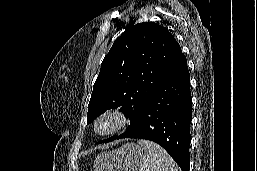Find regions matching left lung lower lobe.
<instances>
[{
	"mask_svg": "<svg viewBox=\"0 0 257 171\" xmlns=\"http://www.w3.org/2000/svg\"><path fill=\"white\" fill-rule=\"evenodd\" d=\"M191 105L190 74L186 57L180 50L137 119L113 140L154 141L171 155L182 171H189Z\"/></svg>",
	"mask_w": 257,
	"mask_h": 171,
	"instance_id": "1",
	"label": "left lung lower lobe"
}]
</instances>
